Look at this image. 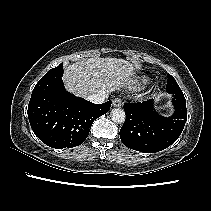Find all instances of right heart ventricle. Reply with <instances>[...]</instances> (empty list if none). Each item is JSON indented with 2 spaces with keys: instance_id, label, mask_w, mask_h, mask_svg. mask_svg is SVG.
<instances>
[{
  "instance_id": "1",
  "label": "right heart ventricle",
  "mask_w": 211,
  "mask_h": 211,
  "mask_svg": "<svg viewBox=\"0 0 211 211\" xmlns=\"http://www.w3.org/2000/svg\"><path fill=\"white\" fill-rule=\"evenodd\" d=\"M149 78L148 77H140L139 79H138V84L139 85H145V84H147L148 82H149Z\"/></svg>"
}]
</instances>
